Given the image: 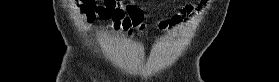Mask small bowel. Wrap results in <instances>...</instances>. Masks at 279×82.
<instances>
[{"label":"small bowel","mask_w":279,"mask_h":82,"mask_svg":"<svg viewBox=\"0 0 279 82\" xmlns=\"http://www.w3.org/2000/svg\"><path fill=\"white\" fill-rule=\"evenodd\" d=\"M124 1L120 0H106L102 7L96 4H84L82 7V14L85 20L89 23L92 22L96 16L102 19H111L116 29L123 31H130L131 26L124 21ZM193 10L192 5H187L183 11V18H187ZM179 16H172L168 19L162 20L156 24L158 29H174L180 22ZM138 30L142 31L147 28V25L141 23Z\"/></svg>","instance_id":"1"}]
</instances>
